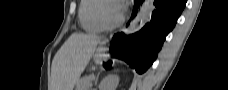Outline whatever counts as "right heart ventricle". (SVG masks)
<instances>
[{
	"label": "right heart ventricle",
	"mask_w": 228,
	"mask_h": 90,
	"mask_svg": "<svg viewBox=\"0 0 228 90\" xmlns=\"http://www.w3.org/2000/svg\"><path fill=\"white\" fill-rule=\"evenodd\" d=\"M100 0H82L79 6L78 17L82 28L90 33H98L104 28L95 18V9Z\"/></svg>",
	"instance_id": "obj_1"
}]
</instances>
